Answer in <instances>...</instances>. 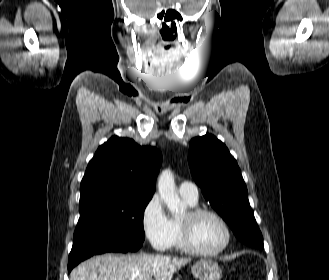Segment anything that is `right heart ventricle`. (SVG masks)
Returning a JSON list of instances; mask_svg holds the SVG:
<instances>
[{"label": "right heart ventricle", "mask_w": 329, "mask_h": 280, "mask_svg": "<svg viewBox=\"0 0 329 280\" xmlns=\"http://www.w3.org/2000/svg\"><path fill=\"white\" fill-rule=\"evenodd\" d=\"M184 201L189 207H195L197 201H191L186 197H183ZM172 226H173V240L171 247L181 250L183 249L182 244H181V238H180V228H179V220L178 219H171Z\"/></svg>", "instance_id": "obj_1"}]
</instances>
